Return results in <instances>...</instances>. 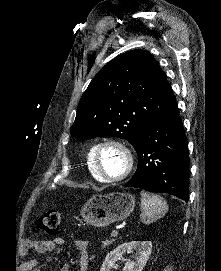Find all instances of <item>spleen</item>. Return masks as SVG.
I'll return each instance as SVG.
<instances>
[{"instance_id":"3e777b00","label":"spleen","mask_w":221,"mask_h":271,"mask_svg":"<svg viewBox=\"0 0 221 271\" xmlns=\"http://www.w3.org/2000/svg\"><path fill=\"white\" fill-rule=\"evenodd\" d=\"M140 195V219L143 223H153L165 215L168 205L163 197L156 195V193H150V191H141Z\"/></svg>"}]
</instances>
